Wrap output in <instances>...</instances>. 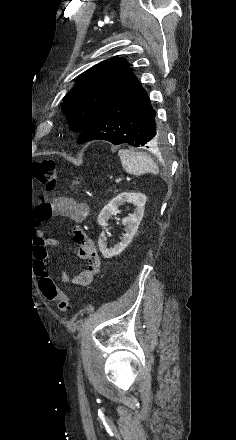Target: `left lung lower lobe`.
<instances>
[{
    "mask_svg": "<svg viewBox=\"0 0 236 440\" xmlns=\"http://www.w3.org/2000/svg\"><path fill=\"white\" fill-rule=\"evenodd\" d=\"M92 140L147 148L163 142L164 133L156 112L146 91L137 81L101 110L81 132L78 143Z\"/></svg>",
    "mask_w": 236,
    "mask_h": 440,
    "instance_id": "obj_1",
    "label": "left lung lower lobe"
}]
</instances>
